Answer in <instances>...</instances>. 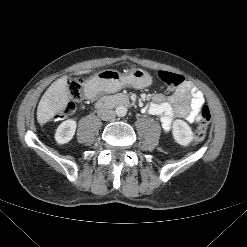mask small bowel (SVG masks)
<instances>
[{"mask_svg":"<svg viewBox=\"0 0 247 247\" xmlns=\"http://www.w3.org/2000/svg\"><path fill=\"white\" fill-rule=\"evenodd\" d=\"M93 95L89 89L87 96ZM205 98L203 93L192 83L185 82L165 101L162 94L154 96L153 101L145 107V112L159 117L164 131L169 132L175 118H183L190 123L201 119Z\"/></svg>","mask_w":247,"mask_h":247,"instance_id":"1","label":"small bowel"}]
</instances>
